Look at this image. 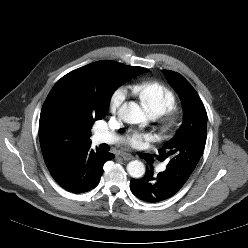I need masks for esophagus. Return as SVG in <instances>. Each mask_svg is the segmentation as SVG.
<instances>
[{
	"mask_svg": "<svg viewBox=\"0 0 248 248\" xmlns=\"http://www.w3.org/2000/svg\"><path fill=\"white\" fill-rule=\"evenodd\" d=\"M117 156L126 161L132 160L134 158L132 155L125 152H120L117 154Z\"/></svg>",
	"mask_w": 248,
	"mask_h": 248,
	"instance_id": "esophagus-1",
	"label": "esophagus"
}]
</instances>
